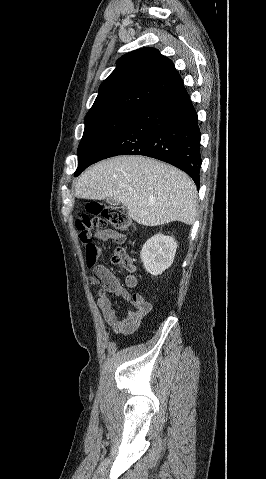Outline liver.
Returning a JSON list of instances; mask_svg holds the SVG:
<instances>
[{
    "instance_id": "liver-1",
    "label": "liver",
    "mask_w": 266,
    "mask_h": 479,
    "mask_svg": "<svg viewBox=\"0 0 266 479\" xmlns=\"http://www.w3.org/2000/svg\"><path fill=\"white\" fill-rule=\"evenodd\" d=\"M75 196L116 200L144 226L173 221L192 225L197 216L192 179L173 166L143 156H118L96 163L77 180Z\"/></svg>"
}]
</instances>
